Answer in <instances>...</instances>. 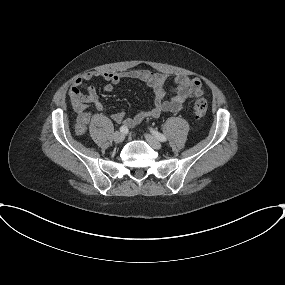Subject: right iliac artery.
Returning a JSON list of instances; mask_svg holds the SVG:
<instances>
[{
    "instance_id": "1",
    "label": "right iliac artery",
    "mask_w": 285,
    "mask_h": 285,
    "mask_svg": "<svg viewBox=\"0 0 285 285\" xmlns=\"http://www.w3.org/2000/svg\"><path fill=\"white\" fill-rule=\"evenodd\" d=\"M120 131H121L122 133H127V132H128V128H127L126 126H121V127H120Z\"/></svg>"
}]
</instances>
